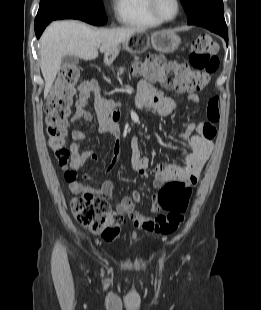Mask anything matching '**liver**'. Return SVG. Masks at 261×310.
Wrapping results in <instances>:
<instances>
[{
  "instance_id": "obj_1",
  "label": "liver",
  "mask_w": 261,
  "mask_h": 310,
  "mask_svg": "<svg viewBox=\"0 0 261 310\" xmlns=\"http://www.w3.org/2000/svg\"><path fill=\"white\" fill-rule=\"evenodd\" d=\"M137 32H143V29H94L85 23L73 20L51 23L40 39V67L45 80L44 97L46 98L51 90L65 55L93 60L98 57L97 45H101L100 52L107 57Z\"/></svg>"
}]
</instances>
